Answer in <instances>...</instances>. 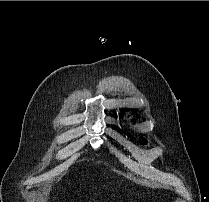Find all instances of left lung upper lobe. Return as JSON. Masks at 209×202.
<instances>
[{"mask_svg":"<svg viewBox=\"0 0 209 202\" xmlns=\"http://www.w3.org/2000/svg\"><path fill=\"white\" fill-rule=\"evenodd\" d=\"M140 142H141V144H146L147 143V141L145 140V139H140Z\"/></svg>","mask_w":209,"mask_h":202,"instance_id":"left-lung-upper-lobe-1","label":"left lung upper lobe"}]
</instances>
